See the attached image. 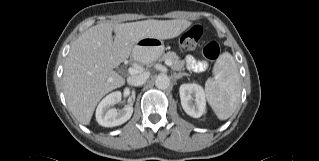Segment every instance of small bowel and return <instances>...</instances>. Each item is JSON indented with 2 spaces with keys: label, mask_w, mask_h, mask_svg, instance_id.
<instances>
[{
  "label": "small bowel",
  "mask_w": 319,
  "mask_h": 161,
  "mask_svg": "<svg viewBox=\"0 0 319 161\" xmlns=\"http://www.w3.org/2000/svg\"><path fill=\"white\" fill-rule=\"evenodd\" d=\"M185 62L186 65L193 70H201L205 67V62L197 59L192 55L186 56Z\"/></svg>",
  "instance_id": "small-bowel-1"
}]
</instances>
